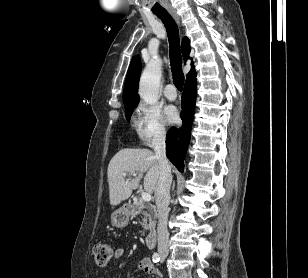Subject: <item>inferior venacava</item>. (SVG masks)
I'll return each mask as SVG.
<instances>
[{
	"instance_id": "obj_1",
	"label": "inferior vena cava",
	"mask_w": 308,
	"mask_h": 278,
	"mask_svg": "<svg viewBox=\"0 0 308 278\" xmlns=\"http://www.w3.org/2000/svg\"><path fill=\"white\" fill-rule=\"evenodd\" d=\"M166 132L160 130L153 139L155 156L160 167V176L155 188V201L158 212V252L167 254L169 233L167 221L169 214L170 187L172 183L171 166L166 157Z\"/></svg>"
}]
</instances>
